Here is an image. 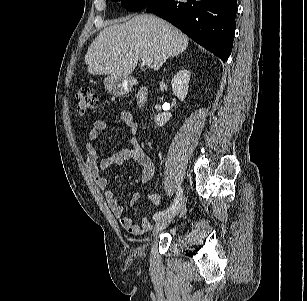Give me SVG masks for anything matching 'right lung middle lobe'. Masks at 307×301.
Here are the masks:
<instances>
[{"instance_id":"1","label":"right lung middle lobe","mask_w":307,"mask_h":301,"mask_svg":"<svg viewBox=\"0 0 307 301\" xmlns=\"http://www.w3.org/2000/svg\"><path fill=\"white\" fill-rule=\"evenodd\" d=\"M121 1V4L130 11H140L154 4L158 0H113Z\"/></svg>"}]
</instances>
